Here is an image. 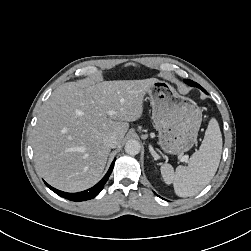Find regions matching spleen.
<instances>
[{
  "label": "spleen",
  "instance_id": "obj_1",
  "mask_svg": "<svg viewBox=\"0 0 251 251\" xmlns=\"http://www.w3.org/2000/svg\"><path fill=\"white\" fill-rule=\"evenodd\" d=\"M222 153V135L216 119L209 121L200 149L193 153L187 166H178L176 171L170 164L161 166V175L166 184L173 183L179 197L198 194L214 177Z\"/></svg>",
  "mask_w": 251,
  "mask_h": 251
}]
</instances>
